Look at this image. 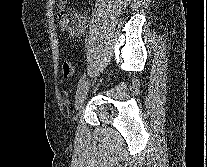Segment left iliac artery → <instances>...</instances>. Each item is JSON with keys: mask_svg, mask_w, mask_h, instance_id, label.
Wrapping results in <instances>:
<instances>
[{"mask_svg": "<svg viewBox=\"0 0 207 167\" xmlns=\"http://www.w3.org/2000/svg\"><path fill=\"white\" fill-rule=\"evenodd\" d=\"M85 81V74L81 76V78L79 79L78 81V84H77V92L79 91V89L81 88L82 84L84 83Z\"/></svg>", "mask_w": 207, "mask_h": 167, "instance_id": "left-iliac-artery-1", "label": "left iliac artery"}]
</instances>
